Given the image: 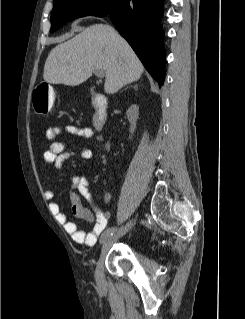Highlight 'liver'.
Masks as SVG:
<instances>
[{"instance_id":"1","label":"liver","mask_w":245,"mask_h":319,"mask_svg":"<svg viewBox=\"0 0 245 319\" xmlns=\"http://www.w3.org/2000/svg\"><path fill=\"white\" fill-rule=\"evenodd\" d=\"M96 70H103L104 91L114 94L137 81L143 65L119 33L110 25L94 24L49 53L43 78L52 84L77 86Z\"/></svg>"}]
</instances>
